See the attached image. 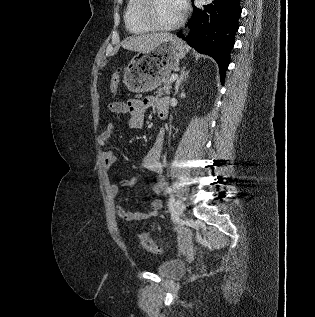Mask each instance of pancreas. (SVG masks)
Wrapping results in <instances>:
<instances>
[{
	"mask_svg": "<svg viewBox=\"0 0 315 317\" xmlns=\"http://www.w3.org/2000/svg\"><path fill=\"white\" fill-rule=\"evenodd\" d=\"M171 90L170 77L167 76L163 82V86L158 88L155 92L156 96L169 95Z\"/></svg>",
	"mask_w": 315,
	"mask_h": 317,
	"instance_id": "obj_1",
	"label": "pancreas"
}]
</instances>
